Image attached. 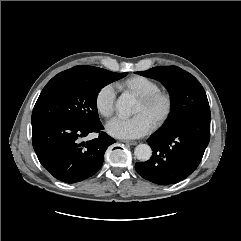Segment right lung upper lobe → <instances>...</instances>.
Segmentation results:
<instances>
[{
	"label": "right lung upper lobe",
	"instance_id": "cb5924a9",
	"mask_svg": "<svg viewBox=\"0 0 241 241\" xmlns=\"http://www.w3.org/2000/svg\"><path fill=\"white\" fill-rule=\"evenodd\" d=\"M92 68L93 66H75L71 69H68V71L88 73L92 70Z\"/></svg>",
	"mask_w": 241,
	"mask_h": 241
}]
</instances>
